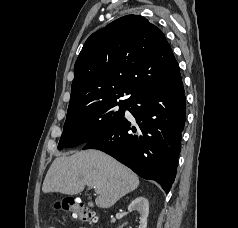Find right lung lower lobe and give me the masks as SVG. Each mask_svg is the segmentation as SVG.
<instances>
[{"label": "right lung lower lobe", "mask_w": 238, "mask_h": 228, "mask_svg": "<svg viewBox=\"0 0 238 228\" xmlns=\"http://www.w3.org/2000/svg\"><path fill=\"white\" fill-rule=\"evenodd\" d=\"M138 124L123 117L86 143L131 168L140 177L158 182L168 193L176 176L181 132L186 117L181 77L127 101Z\"/></svg>", "instance_id": "obj_1"}]
</instances>
